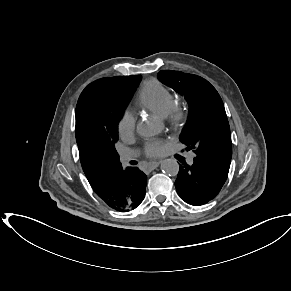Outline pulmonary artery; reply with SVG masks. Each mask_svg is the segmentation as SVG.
Wrapping results in <instances>:
<instances>
[{"label":"pulmonary artery","instance_id":"e3ab8cb5","mask_svg":"<svg viewBox=\"0 0 291 291\" xmlns=\"http://www.w3.org/2000/svg\"><path fill=\"white\" fill-rule=\"evenodd\" d=\"M133 157H134V154H133V153H126V154L121 155V161H122L123 163H127V162L130 161ZM193 161H194V154H191V155L188 157V163H189V164H192Z\"/></svg>","mask_w":291,"mask_h":291}]
</instances>
